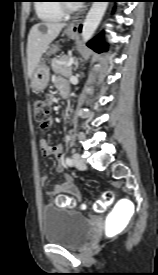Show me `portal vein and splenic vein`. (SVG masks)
I'll return each mask as SVG.
<instances>
[{"instance_id":"portal-vein-and-splenic-vein-1","label":"portal vein and splenic vein","mask_w":158,"mask_h":275,"mask_svg":"<svg viewBox=\"0 0 158 275\" xmlns=\"http://www.w3.org/2000/svg\"><path fill=\"white\" fill-rule=\"evenodd\" d=\"M73 64V58H70L69 60H68V62H67V65L68 66H71Z\"/></svg>"}]
</instances>
